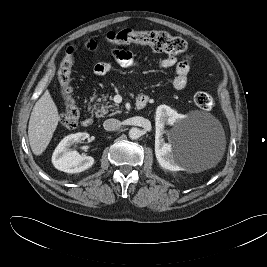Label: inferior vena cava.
Wrapping results in <instances>:
<instances>
[{"label": "inferior vena cava", "mask_w": 267, "mask_h": 267, "mask_svg": "<svg viewBox=\"0 0 267 267\" xmlns=\"http://www.w3.org/2000/svg\"><path fill=\"white\" fill-rule=\"evenodd\" d=\"M121 126V122L117 119L110 118L104 121L103 127L107 131H114Z\"/></svg>", "instance_id": "602c4592"}]
</instances>
